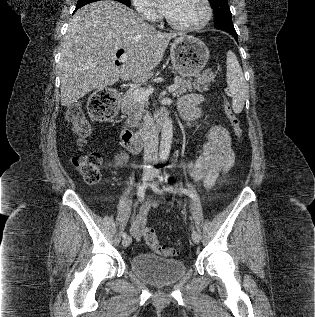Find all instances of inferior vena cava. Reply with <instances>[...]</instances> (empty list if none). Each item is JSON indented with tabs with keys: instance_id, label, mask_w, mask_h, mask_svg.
<instances>
[{
	"instance_id": "inferior-vena-cava-1",
	"label": "inferior vena cava",
	"mask_w": 315,
	"mask_h": 317,
	"mask_svg": "<svg viewBox=\"0 0 315 317\" xmlns=\"http://www.w3.org/2000/svg\"><path fill=\"white\" fill-rule=\"evenodd\" d=\"M144 162L150 164L157 161L158 154V131L154 119L148 113L144 116ZM145 170H154L152 166H145Z\"/></svg>"
}]
</instances>
